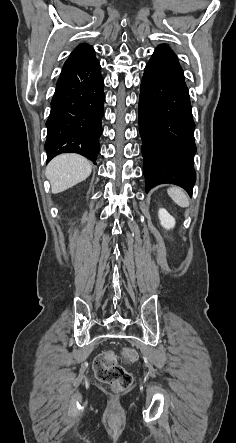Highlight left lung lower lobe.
<instances>
[{
	"label": "left lung lower lobe",
	"instance_id": "obj_1",
	"mask_svg": "<svg viewBox=\"0 0 236 443\" xmlns=\"http://www.w3.org/2000/svg\"><path fill=\"white\" fill-rule=\"evenodd\" d=\"M138 117L146 192L172 183L191 196L196 180L195 124L183 70L165 44L156 48L145 67Z\"/></svg>",
	"mask_w": 236,
	"mask_h": 443
}]
</instances>
